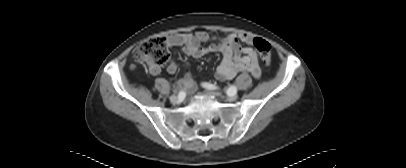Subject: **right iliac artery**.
<instances>
[{
    "mask_svg": "<svg viewBox=\"0 0 406 168\" xmlns=\"http://www.w3.org/2000/svg\"><path fill=\"white\" fill-rule=\"evenodd\" d=\"M184 94V92H179V97H181Z\"/></svg>",
    "mask_w": 406,
    "mask_h": 168,
    "instance_id": "right-iliac-artery-1",
    "label": "right iliac artery"
}]
</instances>
